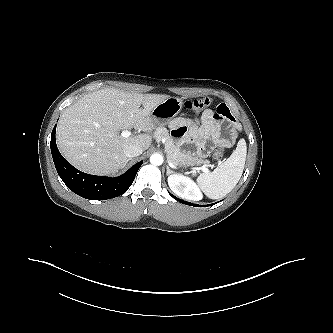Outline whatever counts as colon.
I'll return each mask as SVG.
<instances>
[{"mask_svg": "<svg viewBox=\"0 0 333 333\" xmlns=\"http://www.w3.org/2000/svg\"><path fill=\"white\" fill-rule=\"evenodd\" d=\"M211 100L208 97H200L189 100L185 103V107L189 110L200 111L210 106ZM225 156L224 149H217L214 152V158L216 160H222Z\"/></svg>", "mask_w": 333, "mask_h": 333, "instance_id": "colon-1", "label": "colon"}]
</instances>
